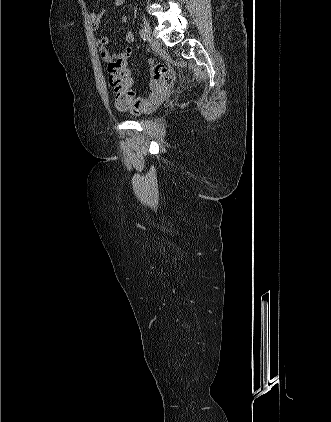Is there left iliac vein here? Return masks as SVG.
Segmentation results:
<instances>
[{"mask_svg":"<svg viewBox=\"0 0 331 422\" xmlns=\"http://www.w3.org/2000/svg\"><path fill=\"white\" fill-rule=\"evenodd\" d=\"M148 45L155 51L160 49V43L159 41L153 36L151 32H148Z\"/></svg>","mask_w":331,"mask_h":422,"instance_id":"1","label":"left iliac vein"}]
</instances>
